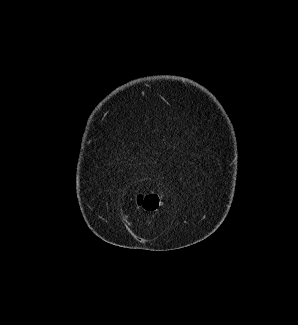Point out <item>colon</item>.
<instances>
[{
    "label": "colon",
    "mask_w": 298,
    "mask_h": 325,
    "mask_svg": "<svg viewBox=\"0 0 298 325\" xmlns=\"http://www.w3.org/2000/svg\"><path fill=\"white\" fill-rule=\"evenodd\" d=\"M162 195L159 192L140 193L135 198V203L139 208L146 211L157 210L162 203Z\"/></svg>",
    "instance_id": "1"
}]
</instances>
